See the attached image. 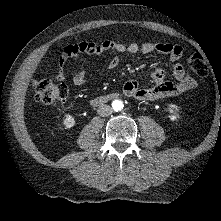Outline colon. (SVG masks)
Listing matches in <instances>:
<instances>
[{
  "instance_id": "obj_1",
  "label": "colon",
  "mask_w": 221,
  "mask_h": 221,
  "mask_svg": "<svg viewBox=\"0 0 221 221\" xmlns=\"http://www.w3.org/2000/svg\"><path fill=\"white\" fill-rule=\"evenodd\" d=\"M77 56L69 55L68 58H75ZM190 67L199 76H206L208 66L204 58L199 54H194L189 60ZM35 99L44 105H63L68 96V87L52 79H43L34 81Z\"/></svg>"
}]
</instances>
